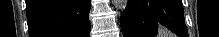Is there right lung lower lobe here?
Segmentation results:
<instances>
[{"label":"right lung lower lobe","mask_w":219,"mask_h":37,"mask_svg":"<svg viewBox=\"0 0 219 37\" xmlns=\"http://www.w3.org/2000/svg\"><path fill=\"white\" fill-rule=\"evenodd\" d=\"M30 37H89L90 0H26Z\"/></svg>","instance_id":"obj_1"}]
</instances>
